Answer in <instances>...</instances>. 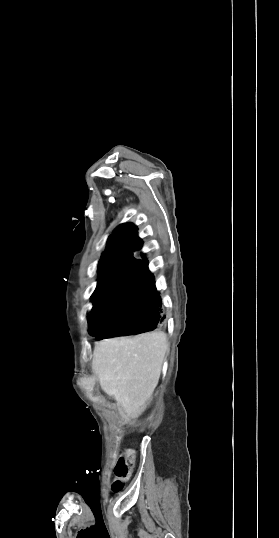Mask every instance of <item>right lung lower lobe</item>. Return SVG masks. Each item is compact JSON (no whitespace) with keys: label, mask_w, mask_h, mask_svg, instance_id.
I'll return each instance as SVG.
<instances>
[{"label":"right lung lower lobe","mask_w":279,"mask_h":538,"mask_svg":"<svg viewBox=\"0 0 279 538\" xmlns=\"http://www.w3.org/2000/svg\"><path fill=\"white\" fill-rule=\"evenodd\" d=\"M142 246L137 227L121 224L107 240L99 262L100 279L91 300L90 334L101 340L163 328L161 296L148 260L133 254Z\"/></svg>","instance_id":"98d812e1"}]
</instances>
